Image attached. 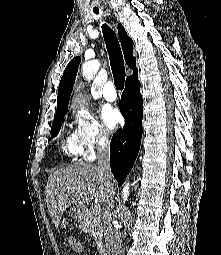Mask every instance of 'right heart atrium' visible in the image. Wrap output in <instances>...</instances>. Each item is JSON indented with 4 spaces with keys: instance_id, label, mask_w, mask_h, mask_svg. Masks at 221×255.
I'll list each match as a JSON object with an SVG mask.
<instances>
[{
    "instance_id": "1",
    "label": "right heart atrium",
    "mask_w": 221,
    "mask_h": 255,
    "mask_svg": "<svg viewBox=\"0 0 221 255\" xmlns=\"http://www.w3.org/2000/svg\"><path fill=\"white\" fill-rule=\"evenodd\" d=\"M75 136L82 147L83 155L90 157L97 148L108 142V135L95 115L86 107H76L73 111Z\"/></svg>"
}]
</instances>
